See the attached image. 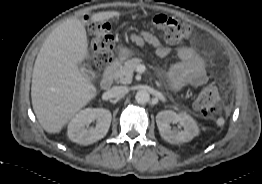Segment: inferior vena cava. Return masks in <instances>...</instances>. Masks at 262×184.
<instances>
[{
    "label": "inferior vena cava",
    "mask_w": 262,
    "mask_h": 184,
    "mask_svg": "<svg viewBox=\"0 0 262 184\" xmlns=\"http://www.w3.org/2000/svg\"><path fill=\"white\" fill-rule=\"evenodd\" d=\"M128 88L126 86H114L109 91L108 94L110 97H123L128 93Z\"/></svg>",
    "instance_id": "inferior-vena-cava-1"
}]
</instances>
